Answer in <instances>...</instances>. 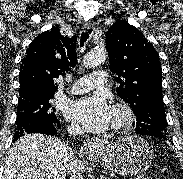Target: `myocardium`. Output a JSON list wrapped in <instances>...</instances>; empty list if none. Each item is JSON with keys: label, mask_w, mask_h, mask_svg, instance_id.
<instances>
[{"label": "myocardium", "mask_w": 183, "mask_h": 179, "mask_svg": "<svg viewBox=\"0 0 183 179\" xmlns=\"http://www.w3.org/2000/svg\"><path fill=\"white\" fill-rule=\"evenodd\" d=\"M112 110L118 114V119L111 125L113 131H121L129 128L135 119L132 108L125 102H116Z\"/></svg>", "instance_id": "obj_1"}]
</instances>
